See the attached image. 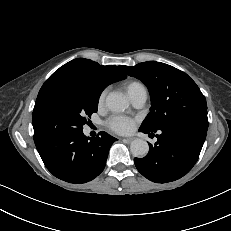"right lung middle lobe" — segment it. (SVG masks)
Listing matches in <instances>:
<instances>
[{"mask_svg":"<svg viewBox=\"0 0 231 231\" xmlns=\"http://www.w3.org/2000/svg\"><path fill=\"white\" fill-rule=\"evenodd\" d=\"M104 86L92 78H64L43 85L37 96L32 122L34 138H55L82 131L97 112Z\"/></svg>","mask_w":231,"mask_h":231,"instance_id":"dd1d6c3e","label":"right lung middle lobe"}]
</instances>
